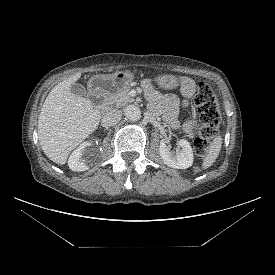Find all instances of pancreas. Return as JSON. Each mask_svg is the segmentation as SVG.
Listing matches in <instances>:
<instances>
[{"mask_svg":"<svg viewBox=\"0 0 275 275\" xmlns=\"http://www.w3.org/2000/svg\"><path fill=\"white\" fill-rule=\"evenodd\" d=\"M130 90L131 88L129 86H124L117 92L109 95L107 97L108 104L120 107L132 102L133 98H131L129 95Z\"/></svg>","mask_w":275,"mask_h":275,"instance_id":"obj_1","label":"pancreas"}]
</instances>
